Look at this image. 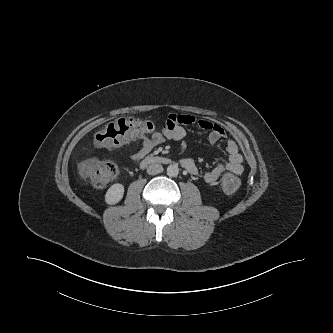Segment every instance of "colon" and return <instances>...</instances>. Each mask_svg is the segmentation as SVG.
Here are the masks:
<instances>
[{"label": "colon", "mask_w": 333, "mask_h": 333, "mask_svg": "<svg viewBox=\"0 0 333 333\" xmlns=\"http://www.w3.org/2000/svg\"><path fill=\"white\" fill-rule=\"evenodd\" d=\"M154 130L155 125L151 121L136 117L121 118L102 128L94 136V145L98 148H110L147 137ZM81 170L96 186L107 184L118 172L113 162L98 159L83 161ZM239 184L238 177L230 173L225 174L221 182L226 193H234Z\"/></svg>", "instance_id": "5ec220e1"}]
</instances>
